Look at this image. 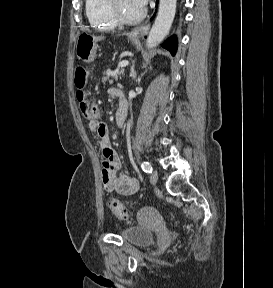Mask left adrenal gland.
I'll return each instance as SVG.
<instances>
[{
    "mask_svg": "<svg viewBox=\"0 0 273 288\" xmlns=\"http://www.w3.org/2000/svg\"><path fill=\"white\" fill-rule=\"evenodd\" d=\"M130 76L132 77V79L136 80L137 78V72L134 70V65L131 68V73Z\"/></svg>",
    "mask_w": 273,
    "mask_h": 288,
    "instance_id": "left-adrenal-gland-1",
    "label": "left adrenal gland"
}]
</instances>
